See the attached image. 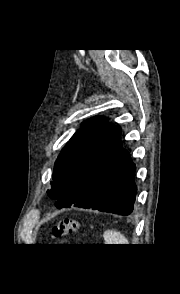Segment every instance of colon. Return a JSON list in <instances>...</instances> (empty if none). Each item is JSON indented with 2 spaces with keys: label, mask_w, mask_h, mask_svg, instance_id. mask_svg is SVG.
Segmentation results:
<instances>
[{
  "label": "colon",
  "mask_w": 180,
  "mask_h": 294,
  "mask_svg": "<svg viewBox=\"0 0 180 294\" xmlns=\"http://www.w3.org/2000/svg\"><path fill=\"white\" fill-rule=\"evenodd\" d=\"M78 229V221L71 218L62 219L53 225L51 230V237L53 239H58L63 236L75 233Z\"/></svg>",
  "instance_id": "1"
}]
</instances>
